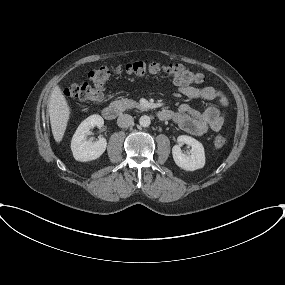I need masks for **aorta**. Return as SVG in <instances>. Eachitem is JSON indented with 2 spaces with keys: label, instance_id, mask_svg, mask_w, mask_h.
Returning a JSON list of instances; mask_svg holds the SVG:
<instances>
[{
  "label": "aorta",
  "instance_id": "aorta-1",
  "mask_svg": "<svg viewBox=\"0 0 285 285\" xmlns=\"http://www.w3.org/2000/svg\"><path fill=\"white\" fill-rule=\"evenodd\" d=\"M139 123L142 127H148L151 123L150 117L147 115H143L139 119Z\"/></svg>",
  "mask_w": 285,
  "mask_h": 285
}]
</instances>
